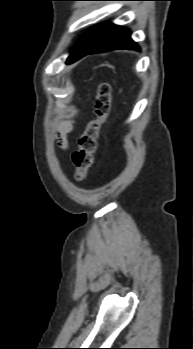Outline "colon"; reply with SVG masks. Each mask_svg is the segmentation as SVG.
<instances>
[{"instance_id": "obj_1", "label": "colon", "mask_w": 193, "mask_h": 349, "mask_svg": "<svg viewBox=\"0 0 193 349\" xmlns=\"http://www.w3.org/2000/svg\"><path fill=\"white\" fill-rule=\"evenodd\" d=\"M112 91L109 83L98 86L94 99V118L87 124L78 142V148L72 155L75 167L74 177L83 181L92 166L94 154L98 145V137L102 124L107 119L111 110Z\"/></svg>"}]
</instances>
